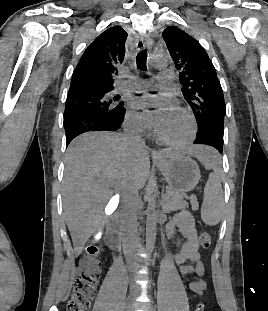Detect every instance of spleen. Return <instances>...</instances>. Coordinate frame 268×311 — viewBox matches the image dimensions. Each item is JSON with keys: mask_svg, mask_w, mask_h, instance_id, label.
<instances>
[{"mask_svg": "<svg viewBox=\"0 0 268 311\" xmlns=\"http://www.w3.org/2000/svg\"><path fill=\"white\" fill-rule=\"evenodd\" d=\"M198 158L207 170H213L209 175L204 188V200L201 206V218L208 226L217 225L224 211V196L222 190L223 172L217 163L218 152L216 148H210V144H195Z\"/></svg>", "mask_w": 268, "mask_h": 311, "instance_id": "spleen-1", "label": "spleen"}]
</instances>
